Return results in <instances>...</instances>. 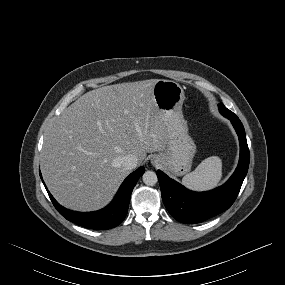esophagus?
Segmentation results:
<instances>
[{
	"label": "esophagus",
	"instance_id": "1",
	"mask_svg": "<svg viewBox=\"0 0 285 285\" xmlns=\"http://www.w3.org/2000/svg\"><path fill=\"white\" fill-rule=\"evenodd\" d=\"M157 162H158V160H157L156 157H153V158L151 159V163H152V164H156Z\"/></svg>",
	"mask_w": 285,
	"mask_h": 285
}]
</instances>
